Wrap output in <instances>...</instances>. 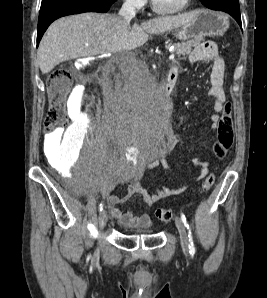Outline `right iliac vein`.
Masks as SVG:
<instances>
[{
  "label": "right iliac vein",
  "instance_id": "obj_1",
  "mask_svg": "<svg viewBox=\"0 0 267 298\" xmlns=\"http://www.w3.org/2000/svg\"><path fill=\"white\" fill-rule=\"evenodd\" d=\"M98 220H99V227L101 229H103L107 223V220H108V215L105 210L101 211Z\"/></svg>",
  "mask_w": 267,
  "mask_h": 298
}]
</instances>
